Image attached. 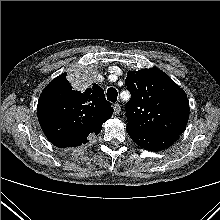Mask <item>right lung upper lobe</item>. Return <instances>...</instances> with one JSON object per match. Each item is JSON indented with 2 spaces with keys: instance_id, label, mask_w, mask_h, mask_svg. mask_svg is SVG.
<instances>
[{
  "instance_id": "cb5924a9",
  "label": "right lung upper lobe",
  "mask_w": 220,
  "mask_h": 220,
  "mask_svg": "<svg viewBox=\"0 0 220 220\" xmlns=\"http://www.w3.org/2000/svg\"><path fill=\"white\" fill-rule=\"evenodd\" d=\"M38 120L48 140L58 148L74 145L102 127L113 109L98 84L78 91L63 73L42 91Z\"/></svg>"
}]
</instances>
